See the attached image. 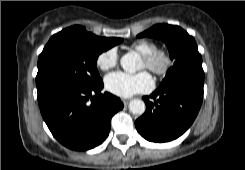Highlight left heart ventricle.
I'll return each mask as SVG.
<instances>
[{
  "mask_svg": "<svg viewBox=\"0 0 245 170\" xmlns=\"http://www.w3.org/2000/svg\"><path fill=\"white\" fill-rule=\"evenodd\" d=\"M146 67V62L144 60H142V66L141 68H145Z\"/></svg>",
  "mask_w": 245,
  "mask_h": 170,
  "instance_id": "b2bd125f",
  "label": "left heart ventricle"
}]
</instances>
